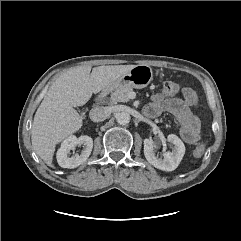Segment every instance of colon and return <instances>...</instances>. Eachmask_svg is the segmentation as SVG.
<instances>
[{"label":"colon","mask_w":241,"mask_h":241,"mask_svg":"<svg viewBox=\"0 0 241 241\" xmlns=\"http://www.w3.org/2000/svg\"><path fill=\"white\" fill-rule=\"evenodd\" d=\"M179 91H180L179 85L171 81L165 82L162 87V94L165 95L166 97L175 96L179 93ZM204 153H205L204 145H198L194 149V155L196 157H201L204 155Z\"/></svg>","instance_id":"5ec220e1"}]
</instances>
